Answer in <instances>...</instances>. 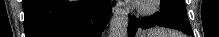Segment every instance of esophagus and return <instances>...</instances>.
<instances>
[{
  "label": "esophagus",
  "mask_w": 219,
  "mask_h": 37,
  "mask_svg": "<svg viewBox=\"0 0 219 37\" xmlns=\"http://www.w3.org/2000/svg\"><path fill=\"white\" fill-rule=\"evenodd\" d=\"M111 4H112V9L113 11L118 9L121 5V1L119 0H111Z\"/></svg>",
  "instance_id": "1"
}]
</instances>
